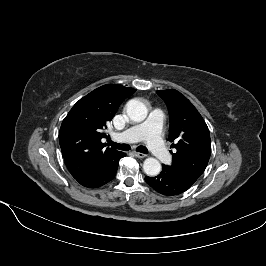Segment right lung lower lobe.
<instances>
[{
    "label": "right lung lower lobe",
    "mask_w": 266,
    "mask_h": 266,
    "mask_svg": "<svg viewBox=\"0 0 266 266\" xmlns=\"http://www.w3.org/2000/svg\"><path fill=\"white\" fill-rule=\"evenodd\" d=\"M125 157V153L121 152L114 160H112L105 168L97 172L92 177L80 181L79 183L87 188L100 187L112 180L117 172L119 160Z\"/></svg>",
    "instance_id": "obj_1"
}]
</instances>
